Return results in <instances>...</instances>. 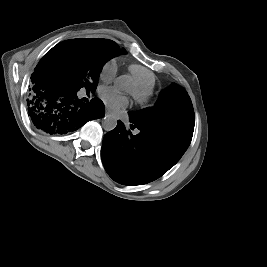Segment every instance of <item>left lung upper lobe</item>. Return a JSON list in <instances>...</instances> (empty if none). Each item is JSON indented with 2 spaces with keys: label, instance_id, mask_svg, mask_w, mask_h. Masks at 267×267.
I'll return each instance as SVG.
<instances>
[{
  "label": "left lung upper lobe",
  "instance_id": "left-lung-upper-lobe-1",
  "mask_svg": "<svg viewBox=\"0 0 267 267\" xmlns=\"http://www.w3.org/2000/svg\"><path fill=\"white\" fill-rule=\"evenodd\" d=\"M128 113L135 125L170 134L187 144L192 139L193 106L187 92L177 84L163 90L154 107Z\"/></svg>",
  "mask_w": 267,
  "mask_h": 267
}]
</instances>
